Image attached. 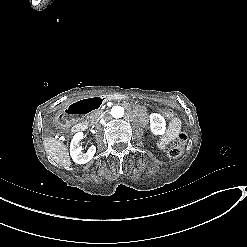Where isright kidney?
Returning <instances> with one entry per match:
<instances>
[{
    "mask_svg": "<svg viewBox=\"0 0 247 247\" xmlns=\"http://www.w3.org/2000/svg\"><path fill=\"white\" fill-rule=\"evenodd\" d=\"M84 139L83 132H77L70 145V155L73 161L77 164H86L88 163L96 153V146L90 145L87 151H83L79 146L80 142Z\"/></svg>",
    "mask_w": 247,
    "mask_h": 247,
    "instance_id": "right-kidney-1",
    "label": "right kidney"
}]
</instances>
